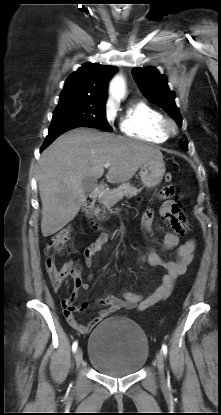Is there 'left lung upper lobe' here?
<instances>
[{
  "label": "left lung upper lobe",
  "mask_w": 221,
  "mask_h": 415,
  "mask_svg": "<svg viewBox=\"0 0 221 415\" xmlns=\"http://www.w3.org/2000/svg\"><path fill=\"white\" fill-rule=\"evenodd\" d=\"M132 74L143 95L161 106L181 127L182 117L175 104V93L170 91L166 76L153 67L133 68ZM179 145L183 150H187L186 142L179 141Z\"/></svg>",
  "instance_id": "1"
}]
</instances>
